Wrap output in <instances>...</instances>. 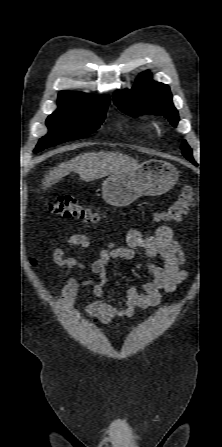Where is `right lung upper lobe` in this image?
Masks as SVG:
<instances>
[{"label": "right lung upper lobe", "mask_w": 222, "mask_h": 447, "mask_svg": "<svg viewBox=\"0 0 222 447\" xmlns=\"http://www.w3.org/2000/svg\"><path fill=\"white\" fill-rule=\"evenodd\" d=\"M59 96L73 97V98L84 99V100H86V99H108L109 100L108 96H102L99 98H95L89 94H86L83 92H77V91H61L59 93Z\"/></svg>", "instance_id": "cb5924a9"}]
</instances>
